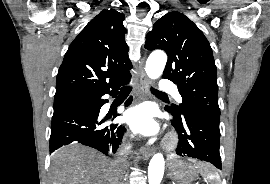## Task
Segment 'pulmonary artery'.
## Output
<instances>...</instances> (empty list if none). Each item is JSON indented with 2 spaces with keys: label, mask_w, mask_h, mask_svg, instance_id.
<instances>
[{
  "label": "pulmonary artery",
  "mask_w": 270,
  "mask_h": 184,
  "mask_svg": "<svg viewBox=\"0 0 270 184\" xmlns=\"http://www.w3.org/2000/svg\"><path fill=\"white\" fill-rule=\"evenodd\" d=\"M160 89L162 90V92L174 94L178 101L182 100L181 96L178 93L176 86L171 81L163 80L160 83Z\"/></svg>",
  "instance_id": "obj_1"
}]
</instances>
